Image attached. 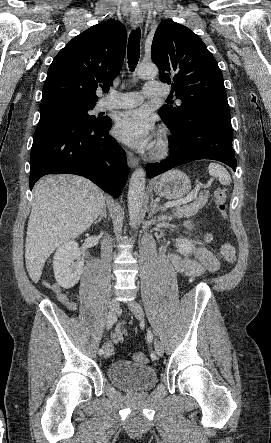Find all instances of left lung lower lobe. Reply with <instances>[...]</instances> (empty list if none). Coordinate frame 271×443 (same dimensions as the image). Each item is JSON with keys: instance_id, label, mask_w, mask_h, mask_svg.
Returning a JSON list of instances; mask_svg holds the SVG:
<instances>
[{"instance_id": "obj_1", "label": "left lung lower lobe", "mask_w": 271, "mask_h": 443, "mask_svg": "<svg viewBox=\"0 0 271 443\" xmlns=\"http://www.w3.org/2000/svg\"><path fill=\"white\" fill-rule=\"evenodd\" d=\"M159 115L172 133L169 139L170 155L160 163L147 164L148 177L199 159L221 161L235 171L229 110L204 106L189 118L170 124Z\"/></svg>"}]
</instances>
